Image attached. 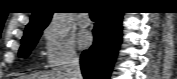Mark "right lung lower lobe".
I'll list each match as a JSON object with an SVG mask.
<instances>
[{
    "label": "right lung lower lobe",
    "instance_id": "98d812e1",
    "mask_svg": "<svg viewBox=\"0 0 177 79\" xmlns=\"http://www.w3.org/2000/svg\"><path fill=\"white\" fill-rule=\"evenodd\" d=\"M123 13L103 11L93 29L94 44L81 55L85 79H108L121 43Z\"/></svg>",
    "mask_w": 177,
    "mask_h": 79
}]
</instances>
